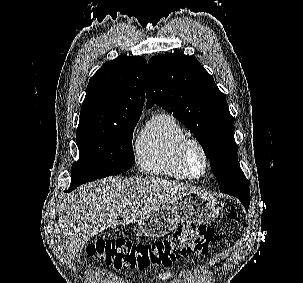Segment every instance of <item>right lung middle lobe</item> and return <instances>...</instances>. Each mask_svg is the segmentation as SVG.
<instances>
[{"label":"right lung middle lobe","instance_id":"right-lung-middle-lobe-1","mask_svg":"<svg viewBox=\"0 0 303 283\" xmlns=\"http://www.w3.org/2000/svg\"><path fill=\"white\" fill-rule=\"evenodd\" d=\"M138 120L77 128L79 161L72 165L70 190L128 170L135 161L132 135Z\"/></svg>","mask_w":303,"mask_h":283}]
</instances>
